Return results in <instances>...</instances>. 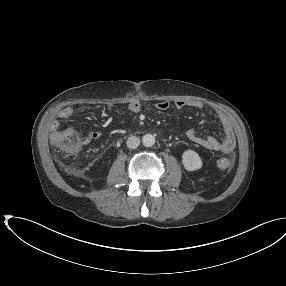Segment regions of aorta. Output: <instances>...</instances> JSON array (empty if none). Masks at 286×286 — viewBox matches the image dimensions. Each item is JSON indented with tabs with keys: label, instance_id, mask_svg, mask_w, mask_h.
I'll use <instances>...</instances> for the list:
<instances>
[{
	"label": "aorta",
	"instance_id": "1",
	"mask_svg": "<svg viewBox=\"0 0 286 286\" xmlns=\"http://www.w3.org/2000/svg\"><path fill=\"white\" fill-rule=\"evenodd\" d=\"M142 143L146 147H151L155 144V137L152 134H145L142 137Z\"/></svg>",
	"mask_w": 286,
	"mask_h": 286
}]
</instances>
